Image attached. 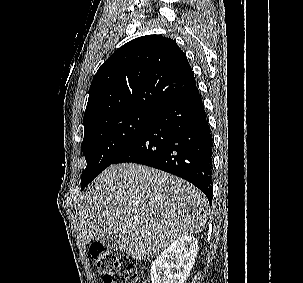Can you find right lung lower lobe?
I'll list each match as a JSON object with an SVG mask.
<instances>
[{
    "instance_id": "1",
    "label": "right lung lower lobe",
    "mask_w": 303,
    "mask_h": 283,
    "mask_svg": "<svg viewBox=\"0 0 303 283\" xmlns=\"http://www.w3.org/2000/svg\"><path fill=\"white\" fill-rule=\"evenodd\" d=\"M133 162L179 176L212 201V138L198 88L165 105L113 162Z\"/></svg>"
}]
</instances>
